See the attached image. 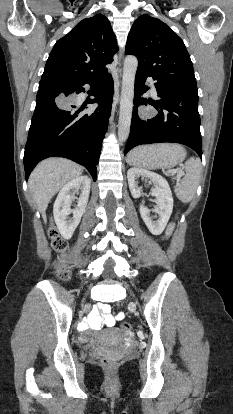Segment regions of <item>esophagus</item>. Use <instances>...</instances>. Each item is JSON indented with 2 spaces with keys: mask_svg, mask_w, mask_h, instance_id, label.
Instances as JSON below:
<instances>
[{
  "mask_svg": "<svg viewBox=\"0 0 233 414\" xmlns=\"http://www.w3.org/2000/svg\"><path fill=\"white\" fill-rule=\"evenodd\" d=\"M121 59H122V53L120 52L119 53V55H118V63L120 64V62H121ZM116 106V101H115V98H114V107Z\"/></svg>",
  "mask_w": 233,
  "mask_h": 414,
  "instance_id": "1",
  "label": "esophagus"
}]
</instances>
